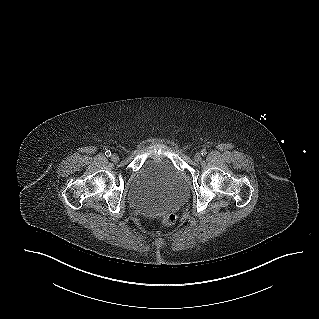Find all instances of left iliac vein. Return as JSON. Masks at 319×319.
<instances>
[{
    "mask_svg": "<svg viewBox=\"0 0 319 319\" xmlns=\"http://www.w3.org/2000/svg\"><path fill=\"white\" fill-rule=\"evenodd\" d=\"M201 159H202V156H201L200 153H196V154L194 155V160H195L196 162L201 161Z\"/></svg>",
    "mask_w": 319,
    "mask_h": 319,
    "instance_id": "4c4485c4",
    "label": "left iliac vein"
}]
</instances>
